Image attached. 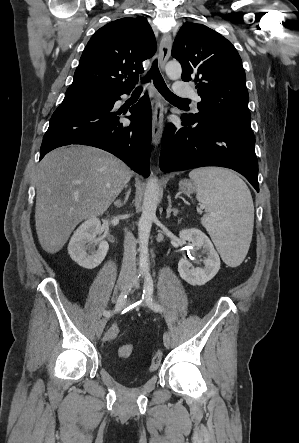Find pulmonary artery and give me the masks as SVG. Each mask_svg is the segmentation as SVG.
Wrapping results in <instances>:
<instances>
[{
	"label": "pulmonary artery",
	"mask_w": 299,
	"mask_h": 443,
	"mask_svg": "<svg viewBox=\"0 0 299 443\" xmlns=\"http://www.w3.org/2000/svg\"><path fill=\"white\" fill-rule=\"evenodd\" d=\"M174 91H175V94L180 97H190V98H193L195 101L200 100V98L196 94L195 90L187 84H184L181 82H176L175 87H174Z\"/></svg>",
	"instance_id": "e3ab8cb5"
}]
</instances>
